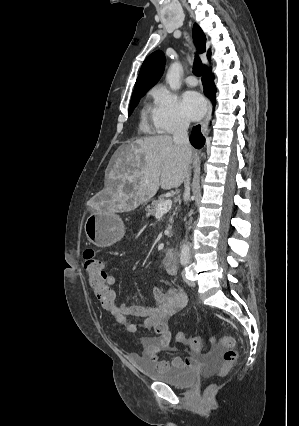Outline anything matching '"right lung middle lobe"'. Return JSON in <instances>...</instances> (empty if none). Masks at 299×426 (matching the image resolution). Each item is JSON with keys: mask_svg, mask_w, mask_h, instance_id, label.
Masks as SVG:
<instances>
[{"mask_svg": "<svg viewBox=\"0 0 299 426\" xmlns=\"http://www.w3.org/2000/svg\"><path fill=\"white\" fill-rule=\"evenodd\" d=\"M146 92L147 91H139L132 94L128 115L133 112L134 108L139 103L140 98L144 96Z\"/></svg>", "mask_w": 299, "mask_h": 426, "instance_id": "dd1d6c3e", "label": "right lung middle lobe"}]
</instances>
